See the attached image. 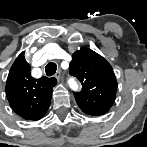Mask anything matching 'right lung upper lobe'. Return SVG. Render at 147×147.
<instances>
[{
	"label": "right lung upper lobe",
	"instance_id": "right-lung-upper-lobe-1",
	"mask_svg": "<svg viewBox=\"0 0 147 147\" xmlns=\"http://www.w3.org/2000/svg\"><path fill=\"white\" fill-rule=\"evenodd\" d=\"M31 66L21 53L13 63L6 82V96L13 111L25 120H39L47 112L57 80L34 79Z\"/></svg>",
	"mask_w": 147,
	"mask_h": 147
}]
</instances>
